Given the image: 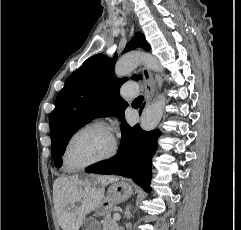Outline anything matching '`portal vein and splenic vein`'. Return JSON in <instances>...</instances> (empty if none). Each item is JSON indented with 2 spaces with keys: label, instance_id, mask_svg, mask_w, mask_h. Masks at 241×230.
<instances>
[{
  "label": "portal vein and splenic vein",
  "instance_id": "portal-vein-and-splenic-vein-1",
  "mask_svg": "<svg viewBox=\"0 0 241 230\" xmlns=\"http://www.w3.org/2000/svg\"><path fill=\"white\" fill-rule=\"evenodd\" d=\"M113 218H114L115 220H120V215L117 214V213H115V214L113 215Z\"/></svg>",
  "mask_w": 241,
  "mask_h": 230
}]
</instances>
